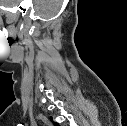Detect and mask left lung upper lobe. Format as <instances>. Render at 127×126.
Returning a JSON list of instances; mask_svg holds the SVG:
<instances>
[{"label": "left lung upper lobe", "instance_id": "left-lung-upper-lobe-1", "mask_svg": "<svg viewBox=\"0 0 127 126\" xmlns=\"http://www.w3.org/2000/svg\"><path fill=\"white\" fill-rule=\"evenodd\" d=\"M51 120H52V118H51ZM55 124V126H58V123H54Z\"/></svg>", "mask_w": 127, "mask_h": 126}]
</instances>
